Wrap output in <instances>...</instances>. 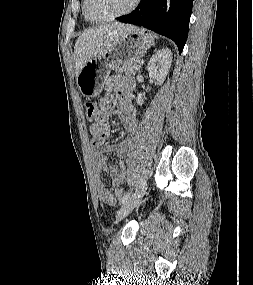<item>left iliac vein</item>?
Instances as JSON below:
<instances>
[{
    "label": "left iliac vein",
    "instance_id": "4c4485c4",
    "mask_svg": "<svg viewBox=\"0 0 253 285\" xmlns=\"http://www.w3.org/2000/svg\"><path fill=\"white\" fill-rule=\"evenodd\" d=\"M147 189V183L144 182L139 189L121 206L117 214V219L125 218L141 201Z\"/></svg>",
    "mask_w": 253,
    "mask_h": 285
}]
</instances>
